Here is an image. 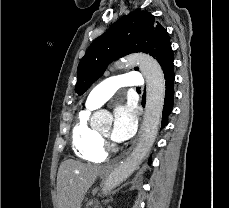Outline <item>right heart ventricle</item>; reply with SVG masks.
<instances>
[{"mask_svg": "<svg viewBox=\"0 0 229 208\" xmlns=\"http://www.w3.org/2000/svg\"><path fill=\"white\" fill-rule=\"evenodd\" d=\"M90 107L79 111L71 130V148L74 155L85 162H98L104 157L100 134L90 125Z\"/></svg>", "mask_w": 229, "mask_h": 208, "instance_id": "e07e8e85", "label": "right heart ventricle"}]
</instances>
